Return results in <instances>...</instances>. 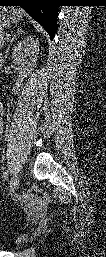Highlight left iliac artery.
I'll use <instances>...</instances> for the list:
<instances>
[{
    "mask_svg": "<svg viewBox=\"0 0 106 257\" xmlns=\"http://www.w3.org/2000/svg\"><path fill=\"white\" fill-rule=\"evenodd\" d=\"M3 177H4V180H7V178H8V171H5V172H4Z\"/></svg>",
    "mask_w": 106,
    "mask_h": 257,
    "instance_id": "44dca946",
    "label": "left iliac artery"
}]
</instances>
